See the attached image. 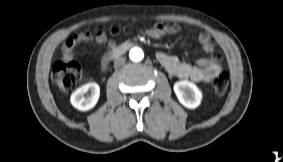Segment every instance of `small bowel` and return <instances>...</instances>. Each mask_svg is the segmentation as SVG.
<instances>
[{
  "label": "small bowel",
  "instance_id": "small-bowel-1",
  "mask_svg": "<svg viewBox=\"0 0 283 162\" xmlns=\"http://www.w3.org/2000/svg\"><path fill=\"white\" fill-rule=\"evenodd\" d=\"M180 31V27L175 23H157L153 27L145 30V33L152 38H160L166 34H175ZM94 41L97 44H107V50L114 52L117 49V44L114 41H108L105 33L101 32L97 35H92L90 32H79L69 36L62 46V59L64 61L73 60V48L86 42ZM198 41L202 46L204 52L213 54L214 45L210 39V36L206 33H200ZM221 56L215 55L209 58H200L196 65L181 61L179 58L173 55H169L165 52H159L157 59L160 64L173 76L181 79H191L195 82L207 83L218 76L222 70L219 63ZM113 58L108 53L100 59V68L97 69L98 75H103L109 69Z\"/></svg>",
  "mask_w": 283,
  "mask_h": 162
}]
</instances>
